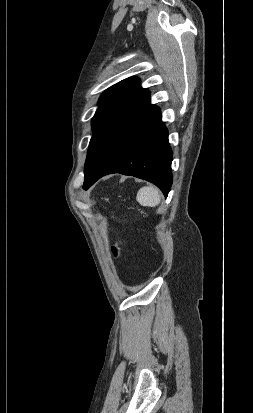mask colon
Returning a JSON list of instances; mask_svg holds the SVG:
<instances>
[{
    "label": "colon",
    "instance_id": "5ec220e1",
    "mask_svg": "<svg viewBox=\"0 0 253 413\" xmlns=\"http://www.w3.org/2000/svg\"><path fill=\"white\" fill-rule=\"evenodd\" d=\"M121 242H117L114 246H112V254L115 258H119L121 256V248H120ZM133 268H135V265H132Z\"/></svg>",
    "mask_w": 253,
    "mask_h": 413
}]
</instances>
